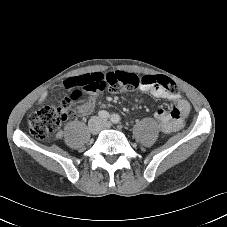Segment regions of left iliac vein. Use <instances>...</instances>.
I'll use <instances>...</instances> for the list:
<instances>
[{
  "label": "left iliac vein",
  "mask_w": 227,
  "mask_h": 227,
  "mask_svg": "<svg viewBox=\"0 0 227 227\" xmlns=\"http://www.w3.org/2000/svg\"><path fill=\"white\" fill-rule=\"evenodd\" d=\"M103 126H104V127H109V124H108L107 122L104 121V122H103Z\"/></svg>",
  "instance_id": "4c4485c4"
}]
</instances>
